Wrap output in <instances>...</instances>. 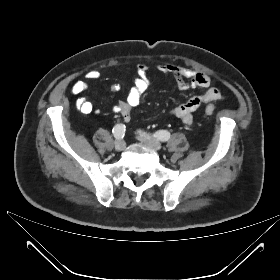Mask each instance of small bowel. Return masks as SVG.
<instances>
[{"mask_svg": "<svg viewBox=\"0 0 280 280\" xmlns=\"http://www.w3.org/2000/svg\"><path fill=\"white\" fill-rule=\"evenodd\" d=\"M156 69L158 74L173 76L180 90L191 88L206 89L204 93L189 98L171 111V114L178 117L186 126H192L193 113L203 104L220 100L223 97L218 88L211 87L213 83L211 77L200 71L169 62L158 64ZM149 70L150 65L146 62H141L137 65L134 83L128 92L126 100L119 102L114 107V111L119 113L126 123L131 120L132 109L139 105L142 95L150 85ZM85 77L87 80H76L72 84L71 91L73 94L81 95L84 93L88 89V81L98 80L101 77V73L96 69H91L86 72ZM119 89L120 86L116 83L110 87L111 93H116ZM75 105L84 114L91 113L94 108L93 103L83 96L77 98Z\"/></svg>", "mask_w": 280, "mask_h": 280, "instance_id": "small-bowel-1", "label": "small bowel"}]
</instances>
